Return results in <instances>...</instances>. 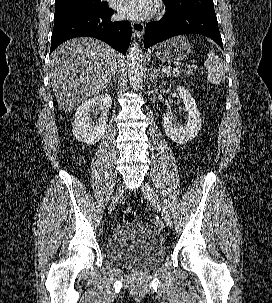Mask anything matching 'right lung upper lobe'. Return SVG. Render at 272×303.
<instances>
[{
    "instance_id": "1",
    "label": "right lung upper lobe",
    "mask_w": 272,
    "mask_h": 303,
    "mask_svg": "<svg viewBox=\"0 0 272 303\" xmlns=\"http://www.w3.org/2000/svg\"><path fill=\"white\" fill-rule=\"evenodd\" d=\"M61 1H65V0H55V2H61Z\"/></svg>"
}]
</instances>
